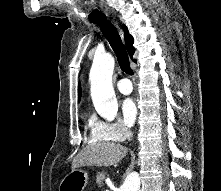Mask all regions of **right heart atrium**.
<instances>
[{
  "instance_id": "right-heart-atrium-1",
  "label": "right heart atrium",
  "mask_w": 221,
  "mask_h": 191,
  "mask_svg": "<svg viewBox=\"0 0 221 191\" xmlns=\"http://www.w3.org/2000/svg\"><path fill=\"white\" fill-rule=\"evenodd\" d=\"M91 133L95 140L124 142L130 137L131 129L120 120L112 122L95 120Z\"/></svg>"
}]
</instances>
